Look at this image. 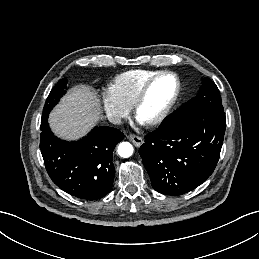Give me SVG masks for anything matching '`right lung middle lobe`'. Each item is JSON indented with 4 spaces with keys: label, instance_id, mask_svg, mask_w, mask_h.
<instances>
[{
    "label": "right lung middle lobe",
    "instance_id": "right-lung-middle-lobe-1",
    "mask_svg": "<svg viewBox=\"0 0 259 259\" xmlns=\"http://www.w3.org/2000/svg\"><path fill=\"white\" fill-rule=\"evenodd\" d=\"M66 84H67V79L64 78L60 80L51 90L44 105L41 124L47 122L50 111L59 102L60 98L66 93V89H67Z\"/></svg>",
    "mask_w": 259,
    "mask_h": 259
}]
</instances>
